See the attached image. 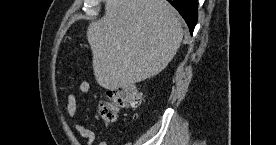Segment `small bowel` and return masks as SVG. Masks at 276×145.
Segmentation results:
<instances>
[{
  "mask_svg": "<svg viewBox=\"0 0 276 145\" xmlns=\"http://www.w3.org/2000/svg\"><path fill=\"white\" fill-rule=\"evenodd\" d=\"M80 91L83 94H87L90 92V84L86 81L82 82L80 84ZM78 103H77V98L73 94H69L66 98V106H65V111L66 115L69 118V120L72 122L74 130L85 139V144L86 145H92L95 141V133L87 128L84 125L78 124L75 120V115L77 111ZM106 127L108 126L105 124ZM100 145H108L107 141H103L100 143Z\"/></svg>",
  "mask_w": 276,
  "mask_h": 145,
  "instance_id": "obj_1",
  "label": "small bowel"
}]
</instances>
